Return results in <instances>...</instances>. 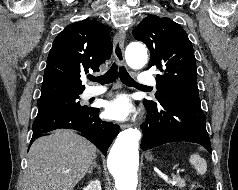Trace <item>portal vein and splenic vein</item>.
Wrapping results in <instances>:
<instances>
[{
    "mask_svg": "<svg viewBox=\"0 0 238 190\" xmlns=\"http://www.w3.org/2000/svg\"><path fill=\"white\" fill-rule=\"evenodd\" d=\"M179 171H184V170L183 169H178L177 172H179Z\"/></svg>",
    "mask_w": 238,
    "mask_h": 190,
    "instance_id": "portal-vein-and-splenic-vein-1",
    "label": "portal vein and splenic vein"
}]
</instances>
